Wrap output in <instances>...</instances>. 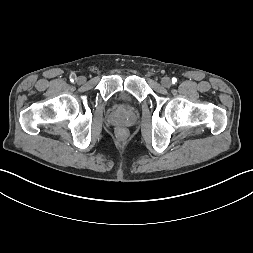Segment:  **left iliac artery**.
Returning a JSON list of instances; mask_svg holds the SVG:
<instances>
[{"label": "left iliac artery", "instance_id": "44dca946", "mask_svg": "<svg viewBox=\"0 0 253 253\" xmlns=\"http://www.w3.org/2000/svg\"><path fill=\"white\" fill-rule=\"evenodd\" d=\"M177 82V79L175 77L172 78V83L175 84Z\"/></svg>", "mask_w": 253, "mask_h": 253}]
</instances>
